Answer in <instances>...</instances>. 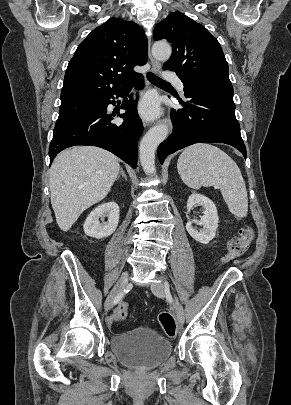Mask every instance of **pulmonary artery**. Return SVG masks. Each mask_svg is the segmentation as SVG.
Masks as SVG:
<instances>
[{"instance_id": "e3ab8cb5", "label": "pulmonary artery", "mask_w": 291, "mask_h": 405, "mask_svg": "<svg viewBox=\"0 0 291 405\" xmlns=\"http://www.w3.org/2000/svg\"><path fill=\"white\" fill-rule=\"evenodd\" d=\"M163 78L167 81L173 82L177 86L178 90L181 93H184V84L176 74L166 71L163 73Z\"/></svg>"}]
</instances>
